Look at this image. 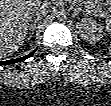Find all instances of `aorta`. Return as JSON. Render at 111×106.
I'll use <instances>...</instances> for the list:
<instances>
[{
	"instance_id": "obj_1",
	"label": "aorta",
	"mask_w": 111,
	"mask_h": 106,
	"mask_svg": "<svg viewBox=\"0 0 111 106\" xmlns=\"http://www.w3.org/2000/svg\"><path fill=\"white\" fill-rule=\"evenodd\" d=\"M58 18H59L60 20H64V19L66 18V12H65V11H60V12L58 13Z\"/></svg>"
}]
</instances>
